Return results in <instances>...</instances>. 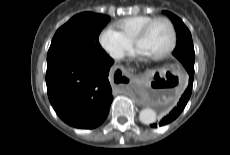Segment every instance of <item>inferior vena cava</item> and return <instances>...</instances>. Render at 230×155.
Here are the masks:
<instances>
[{"instance_id": "obj_1", "label": "inferior vena cava", "mask_w": 230, "mask_h": 155, "mask_svg": "<svg viewBox=\"0 0 230 155\" xmlns=\"http://www.w3.org/2000/svg\"><path fill=\"white\" fill-rule=\"evenodd\" d=\"M111 56L115 59H120L124 56V52L122 50H116L111 54Z\"/></svg>"}]
</instances>
